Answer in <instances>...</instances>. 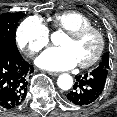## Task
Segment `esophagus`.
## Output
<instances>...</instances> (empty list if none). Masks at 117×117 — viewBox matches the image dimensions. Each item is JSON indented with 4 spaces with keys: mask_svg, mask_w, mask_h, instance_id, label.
Segmentation results:
<instances>
[{
    "mask_svg": "<svg viewBox=\"0 0 117 117\" xmlns=\"http://www.w3.org/2000/svg\"><path fill=\"white\" fill-rule=\"evenodd\" d=\"M48 74L51 75V76H58L59 75V72L49 71Z\"/></svg>",
    "mask_w": 117,
    "mask_h": 117,
    "instance_id": "34e87169",
    "label": "esophagus"
}]
</instances>
